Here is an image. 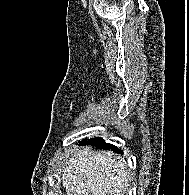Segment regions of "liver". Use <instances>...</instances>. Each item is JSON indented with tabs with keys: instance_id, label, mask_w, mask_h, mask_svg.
<instances>
[{
	"instance_id": "1",
	"label": "liver",
	"mask_w": 189,
	"mask_h": 195,
	"mask_svg": "<svg viewBox=\"0 0 189 195\" xmlns=\"http://www.w3.org/2000/svg\"><path fill=\"white\" fill-rule=\"evenodd\" d=\"M62 182L67 195H124L128 172L113 153L85 147L67 160Z\"/></svg>"
}]
</instances>
